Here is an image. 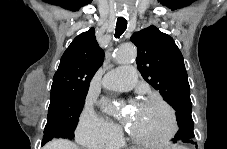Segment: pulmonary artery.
<instances>
[{"label":"pulmonary artery","mask_w":227,"mask_h":149,"mask_svg":"<svg viewBox=\"0 0 227 149\" xmlns=\"http://www.w3.org/2000/svg\"><path fill=\"white\" fill-rule=\"evenodd\" d=\"M136 82V69L133 66H120L104 75L102 85L113 91H127L132 89Z\"/></svg>","instance_id":"obj_1"}]
</instances>
